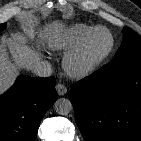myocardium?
Returning <instances> with one entry per match:
<instances>
[{
  "label": "myocardium",
  "mask_w": 141,
  "mask_h": 141,
  "mask_svg": "<svg viewBox=\"0 0 141 141\" xmlns=\"http://www.w3.org/2000/svg\"><path fill=\"white\" fill-rule=\"evenodd\" d=\"M104 31L108 34L110 42L107 49L97 58L85 60L83 58L84 49L90 38L97 32ZM115 45L113 33L104 26H96L91 29L83 39L66 55L64 68L69 76L77 79L86 78L95 73L109 58Z\"/></svg>",
  "instance_id": "f54148a6"
}]
</instances>
